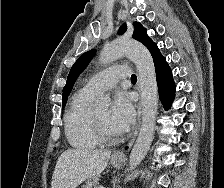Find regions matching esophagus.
Here are the masks:
<instances>
[{"instance_id": "obj_1", "label": "esophagus", "mask_w": 224, "mask_h": 188, "mask_svg": "<svg viewBox=\"0 0 224 188\" xmlns=\"http://www.w3.org/2000/svg\"><path fill=\"white\" fill-rule=\"evenodd\" d=\"M141 115H142V106H141V100L138 101V104H137V123H136V126H135V129L131 135V138L129 140V146H131L138 134V131H139V128H140V124H141ZM114 157H118V158H123L125 157L123 151H117L113 154Z\"/></svg>"}]
</instances>
